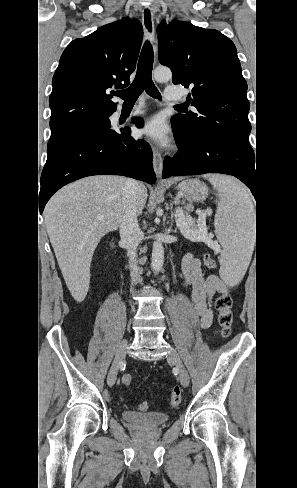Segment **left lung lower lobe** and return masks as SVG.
<instances>
[{"instance_id":"obj_1","label":"left lung lower lobe","mask_w":297,"mask_h":488,"mask_svg":"<svg viewBox=\"0 0 297 488\" xmlns=\"http://www.w3.org/2000/svg\"><path fill=\"white\" fill-rule=\"evenodd\" d=\"M172 129L179 152L173 158L165 159L163 178L205 173L229 174L250 188L257 205V166L255 170L251 146L213 136L185 138L173 122Z\"/></svg>"}]
</instances>
